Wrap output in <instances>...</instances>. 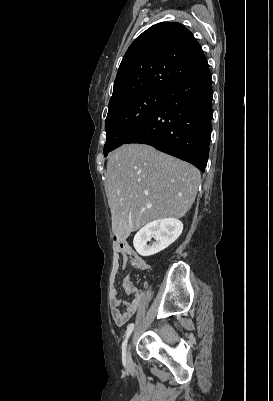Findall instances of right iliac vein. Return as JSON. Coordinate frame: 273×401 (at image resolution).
<instances>
[{"instance_id":"right-iliac-vein-1","label":"right iliac vein","mask_w":273,"mask_h":401,"mask_svg":"<svg viewBox=\"0 0 273 401\" xmlns=\"http://www.w3.org/2000/svg\"><path fill=\"white\" fill-rule=\"evenodd\" d=\"M124 356H125V362H126L127 368L132 369L133 368V360H132V356H131V343H129L127 349H125Z\"/></svg>"}]
</instances>
